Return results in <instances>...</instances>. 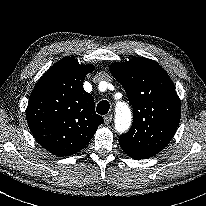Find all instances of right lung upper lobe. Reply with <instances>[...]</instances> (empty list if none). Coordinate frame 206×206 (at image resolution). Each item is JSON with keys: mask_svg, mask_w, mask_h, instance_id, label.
<instances>
[{"mask_svg": "<svg viewBox=\"0 0 206 206\" xmlns=\"http://www.w3.org/2000/svg\"><path fill=\"white\" fill-rule=\"evenodd\" d=\"M93 65L66 57L37 82L26 110L30 131L38 143L57 156L82 150L104 119L95 113L94 98L83 88Z\"/></svg>", "mask_w": 206, "mask_h": 206, "instance_id": "right-lung-upper-lobe-1", "label": "right lung upper lobe"}]
</instances>
